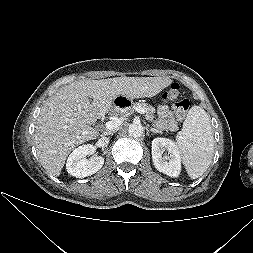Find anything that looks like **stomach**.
I'll return each instance as SVG.
<instances>
[{
  "instance_id": "stomach-1",
  "label": "stomach",
  "mask_w": 253,
  "mask_h": 253,
  "mask_svg": "<svg viewBox=\"0 0 253 253\" xmlns=\"http://www.w3.org/2000/svg\"><path fill=\"white\" fill-rule=\"evenodd\" d=\"M112 107L120 114H128L132 110V99L128 95H119L113 100Z\"/></svg>"
}]
</instances>
